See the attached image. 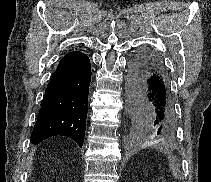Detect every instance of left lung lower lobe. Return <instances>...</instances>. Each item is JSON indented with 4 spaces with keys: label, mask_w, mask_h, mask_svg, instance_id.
Here are the masks:
<instances>
[{
    "label": "left lung lower lobe",
    "mask_w": 211,
    "mask_h": 182,
    "mask_svg": "<svg viewBox=\"0 0 211 182\" xmlns=\"http://www.w3.org/2000/svg\"><path fill=\"white\" fill-rule=\"evenodd\" d=\"M128 96L138 121L147 115L155 135L174 134L176 119L166 71L160 57L150 49L138 50L130 62Z\"/></svg>",
    "instance_id": "left-lung-lower-lobe-1"
}]
</instances>
